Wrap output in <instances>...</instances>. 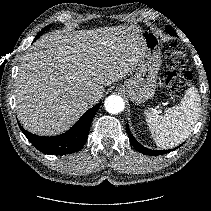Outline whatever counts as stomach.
<instances>
[{
	"instance_id": "0dacf381",
	"label": "stomach",
	"mask_w": 211,
	"mask_h": 211,
	"mask_svg": "<svg viewBox=\"0 0 211 211\" xmlns=\"http://www.w3.org/2000/svg\"><path fill=\"white\" fill-rule=\"evenodd\" d=\"M141 37L142 48L135 74L119 85V89L136 105L154 96L161 66L159 39L150 31H142Z\"/></svg>"
}]
</instances>
